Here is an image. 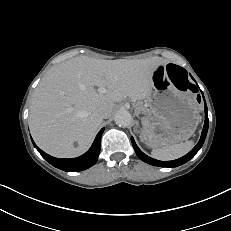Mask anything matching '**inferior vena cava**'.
<instances>
[{
	"mask_svg": "<svg viewBox=\"0 0 231 231\" xmlns=\"http://www.w3.org/2000/svg\"><path fill=\"white\" fill-rule=\"evenodd\" d=\"M98 116L101 118V119H106L110 116V112L109 110L105 109V108H102L98 111Z\"/></svg>",
	"mask_w": 231,
	"mask_h": 231,
	"instance_id": "602c4592",
	"label": "inferior vena cava"
}]
</instances>
